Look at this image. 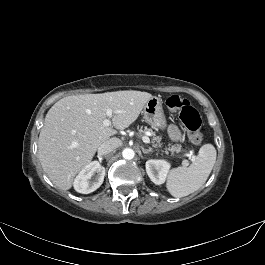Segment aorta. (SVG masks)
<instances>
[{
  "mask_svg": "<svg viewBox=\"0 0 265 265\" xmlns=\"http://www.w3.org/2000/svg\"><path fill=\"white\" fill-rule=\"evenodd\" d=\"M122 156L124 159L126 160H131L134 158L135 156V152L134 150H132L131 148H125L123 151H122Z\"/></svg>",
  "mask_w": 265,
  "mask_h": 265,
  "instance_id": "obj_1",
  "label": "aorta"
}]
</instances>
